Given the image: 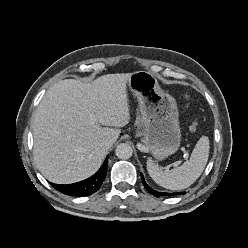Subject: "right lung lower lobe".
I'll use <instances>...</instances> for the list:
<instances>
[{"mask_svg": "<svg viewBox=\"0 0 248 248\" xmlns=\"http://www.w3.org/2000/svg\"><path fill=\"white\" fill-rule=\"evenodd\" d=\"M108 157L97 173L81 182L59 185L50 183L56 190L70 196H88L96 192L103 183L107 173Z\"/></svg>", "mask_w": 248, "mask_h": 248, "instance_id": "98d812e1", "label": "right lung lower lobe"}]
</instances>
